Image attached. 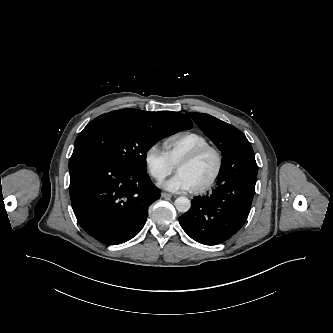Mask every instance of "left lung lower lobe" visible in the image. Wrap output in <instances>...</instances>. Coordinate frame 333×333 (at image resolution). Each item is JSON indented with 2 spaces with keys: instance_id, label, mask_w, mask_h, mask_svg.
<instances>
[{
  "instance_id": "left-lung-lower-lobe-1",
  "label": "left lung lower lobe",
  "mask_w": 333,
  "mask_h": 333,
  "mask_svg": "<svg viewBox=\"0 0 333 333\" xmlns=\"http://www.w3.org/2000/svg\"><path fill=\"white\" fill-rule=\"evenodd\" d=\"M257 173L250 143L226 155L217 187L211 193L194 197L191 208L179 217L183 230L205 245L219 244L232 237L249 215Z\"/></svg>"
}]
</instances>
